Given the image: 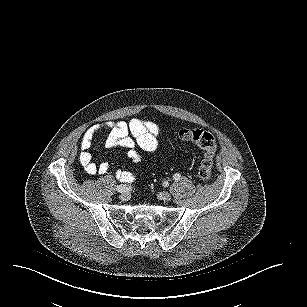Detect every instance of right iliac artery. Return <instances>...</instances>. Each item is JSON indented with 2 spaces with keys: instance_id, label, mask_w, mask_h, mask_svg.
Masks as SVG:
<instances>
[{
  "instance_id": "obj_1",
  "label": "right iliac artery",
  "mask_w": 307,
  "mask_h": 307,
  "mask_svg": "<svg viewBox=\"0 0 307 307\" xmlns=\"http://www.w3.org/2000/svg\"><path fill=\"white\" fill-rule=\"evenodd\" d=\"M116 190H117L118 192H122V191H124V186H123V185H118L117 188H116Z\"/></svg>"
}]
</instances>
